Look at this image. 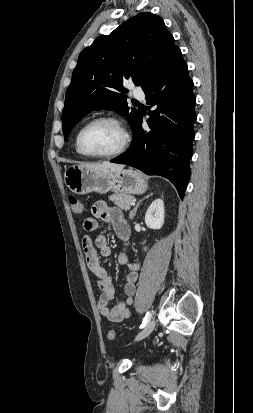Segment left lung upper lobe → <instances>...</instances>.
Returning a JSON list of instances; mask_svg holds the SVG:
<instances>
[{"label": "left lung upper lobe", "mask_w": 253, "mask_h": 413, "mask_svg": "<svg viewBox=\"0 0 253 413\" xmlns=\"http://www.w3.org/2000/svg\"><path fill=\"white\" fill-rule=\"evenodd\" d=\"M176 49L163 20L150 12L140 13L109 35L98 37L80 53L66 91L62 112L65 141L80 119L100 109L127 117L135 136L140 113L127 106L123 82L131 80L145 91Z\"/></svg>", "instance_id": "left-lung-upper-lobe-1"}]
</instances>
